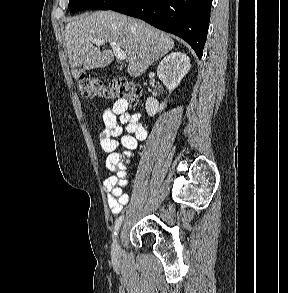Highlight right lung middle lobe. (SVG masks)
I'll use <instances>...</instances> for the list:
<instances>
[{"mask_svg":"<svg viewBox=\"0 0 288 293\" xmlns=\"http://www.w3.org/2000/svg\"><path fill=\"white\" fill-rule=\"evenodd\" d=\"M123 0H69V10L74 13L83 9L109 10Z\"/></svg>","mask_w":288,"mask_h":293,"instance_id":"right-lung-middle-lobe-1","label":"right lung middle lobe"}]
</instances>
